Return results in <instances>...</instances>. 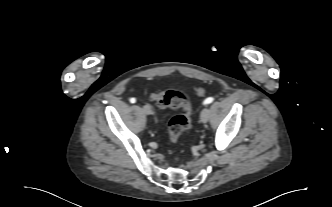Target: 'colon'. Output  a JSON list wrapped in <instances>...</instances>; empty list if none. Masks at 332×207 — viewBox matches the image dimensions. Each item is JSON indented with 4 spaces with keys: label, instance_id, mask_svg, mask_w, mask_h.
<instances>
[{
    "label": "colon",
    "instance_id": "1",
    "mask_svg": "<svg viewBox=\"0 0 332 207\" xmlns=\"http://www.w3.org/2000/svg\"><path fill=\"white\" fill-rule=\"evenodd\" d=\"M199 95L203 90L197 91ZM151 99L161 108L183 109L185 112L173 116L168 125L169 139L172 144H176L181 134L190 126V107L187 97L180 91L170 90L151 95Z\"/></svg>",
    "mask_w": 332,
    "mask_h": 207
}]
</instances>
